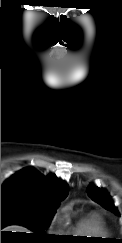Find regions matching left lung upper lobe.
Returning <instances> with one entry per match:
<instances>
[{
	"label": "left lung upper lobe",
	"mask_w": 122,
	"mask_h": 243,
	"mask_svg": "<svg viewBox=\"0 0 122 243\" xmlns=\"http://www.w3.org/2000/svg\"><path fill=\"white\" fill-rule=\"evenodd\" d=\"M89 196L99 204H101L107 210L114 212L116 215H119L117 209L115 208L113 201L106 190L98 188L94 185H90L87 189Z\"/></svg>",
	"instance_id": "5c2ea615"
}]
</instances>
